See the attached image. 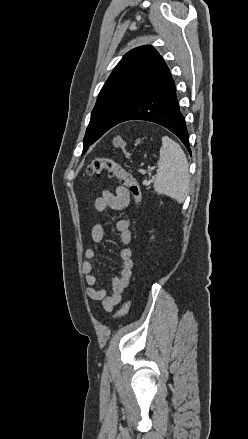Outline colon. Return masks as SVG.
Returning <instances> with one entry per match:
<instances>
[{
	"mask_svg": "<svg viewBox=\"0 0 248 439\" xmlns=\"http://www.w3.org/2000/svg\"><path fill=\"white\" fill-rule=\"evenodd\" d=\"M106 172L109 177L116 178L126 186L136 203H141L142 193L138 180L128 172L120 163L110 158H95L86 167L89 176H100ZM130 307V300H126L116 314V319L125 316Z\"/></svg>",
	"mask_w": 248,
	"mask_h": 439,
	"instance_id": "obj_1",
	"label": "colon"
}]
</instances>
